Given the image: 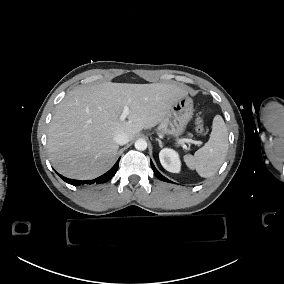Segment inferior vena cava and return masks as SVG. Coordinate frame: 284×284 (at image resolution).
Listing matches in <instances>:
<instances>
[{
  "mask_svg": "<svg viewBox=\"0 0 284 284\" xmlns=\"http://www.w3.org/2000/svg\"><path fill=\"white\" fill-rule=\"evenodd\" d=\"M114 141L119 145H124L129 142V137L125 133H116L114 135Z\"/></svg>",
  "mask_w": 284,
  "mask_h": 284,
  "instance_id": "inferior-vena-cava-1",
  "label": "inferior vena cava"
}]
</instances>
